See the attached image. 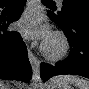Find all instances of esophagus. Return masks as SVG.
Returning a JSON list of instances; mask_svg holds the SVG:
<instances>
[{
  "label": "esophagus",
  "mask_w": 89,
  "mask_h": 89,
  "mask_svg": "<svg viewBox=\"0 0 89 89\" xmlns=\"http://www.w3.org/2000/svg\"><path fill=\"white\" fill-rule=\"evenodd\" d=\"M28 57H29V61L31 63L33 71L37 72L39 68V60L34 56V54L32 53L30 49H28Z\"/></svg>",
  "instance_id": "1"
}]
</instances>
